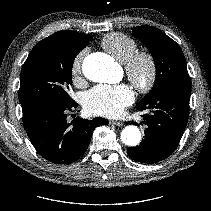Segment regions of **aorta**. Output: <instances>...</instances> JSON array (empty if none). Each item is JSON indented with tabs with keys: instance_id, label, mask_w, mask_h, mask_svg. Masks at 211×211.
Returning a JSON list of instances; mask_svg holds the SVG:
<instances>
[{
	"instance_id": "1",
	"label": "aorta",
	"mask_w": 211,
	"mask_h": 211,
	"mask_svg": "<svg viewBox=\"0 0 211 211\" xmlns=\"http://www.w3.org/2000/svg\"><path fill=\"white\" fill-rule=\"evenodd\" d=\"M116 66L107 55L93 54L84 59L82 70L85 77L94 82H114L116 80ZM121 140L125 145L136 146L141 140L138 127L131 125L123 129Z\"/></svg>"
}]
</instances>
